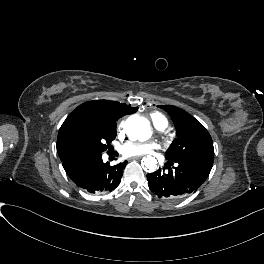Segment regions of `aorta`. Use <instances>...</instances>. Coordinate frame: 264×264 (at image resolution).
Masks as SVG:
<instances>
[{"label":"aorta","instance_id":"obj_1","mask_svg":"<svg viewBox=\"0 0 264 264\" xmlns=\"http://www.w3.org/2000/svg\"><path fill=\"white\" fill-rule=\"evenodd\" d=\"M125 128L127 134L133 139L145 141L150 137V125L145 118L131 116L126 120ZM141 164L146 170L153 171L156 167V159L147 156L142 159Z\"/></svg>","mask_w":264,"mask_h":264}]
</instances>
